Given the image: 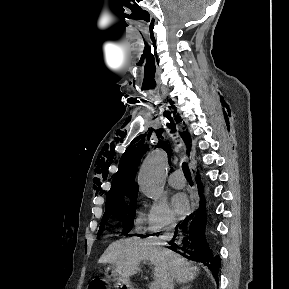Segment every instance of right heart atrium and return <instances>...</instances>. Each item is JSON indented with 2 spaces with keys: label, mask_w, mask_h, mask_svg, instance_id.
<instances>
[{
  "label": "right heart atrium",
  "mask_w": 289,
  "mask_h": 289,
  "mask_svg": "<svg viewBox=\"0 0 289 289\" xmlns=\"http://www.w3.org/2000/svg\"><path fill=\"white\" fill-rule=\"evenodd\" d=\"M145 225L146 230L150 233L168 230L176 225V218L166 200L158 199L148 205L145 214Z\"/></svg>",
  "instance_id": "right-heart-atrium-1"
}]
</instances>
